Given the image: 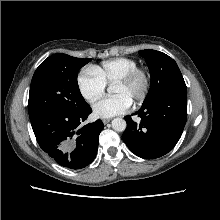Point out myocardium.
Instances as JSON below:
<instances>
[{"label":"myocardium","instance_id":"obj_1","mask_svg":"<svg viewBox=\"0 0 220 220\" xmlns=\"http://www.w3.org/2000/svg\"><path fill=\"white\" fill-rule=\"evenodd\" d=\"M140 79L142 81V89L140 94L133 100L135 104H139L143 102L150 91L151 88V76L150 73L143 68L137 67L127 73L125 76L122 78L118 79L114 85H122V86H127L135 82L136 80Z\"/></svg>","mask_w":220,"mask_h":220}]
</instances>
